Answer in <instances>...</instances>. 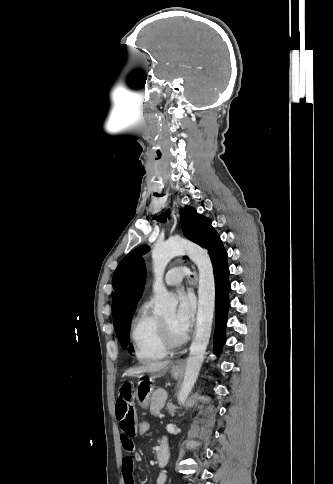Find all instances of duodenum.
I'll return each mask as SVG.
<instances>
[{
	"label": "duodenum",
	"mask_w": 333,
	"mask_h": 484,
	"mask_svg": "<svg viewBox=\"0 0 333 484\" xmlns=\"http://www.w3.org/2000/svg\"><path fill=\"white\" fill-rule=\"evenodd\" d=\"M169 458V448L165 441H163L156 450V461L158 466L163 467L166 465Z\"/></svg>",
	"instance_id": "obj_1"
}]
</instances>
